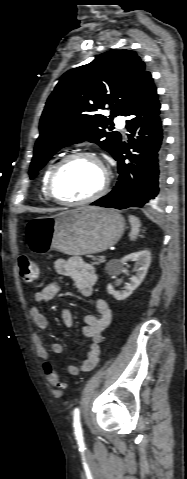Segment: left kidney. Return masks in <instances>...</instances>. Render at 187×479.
<instances>
[{"instance_id": "1", "label": "left kidney", "mask_w": 187, "mask_h": 479, "mask_svg": "<svg viewBox=\"0 0 187 479\" xmlns=\"http://www.w3.org/2000/svg\"><path fill=\"white\" fill-rule=\"evenodd\" d=\"M129 261H135L138 269L136 275L130 278V283L125 289L115 291L111 284L107 285V292L116 300H124L128 298L144 280L151 263V253L148 250H143L128 254L121 259H112L107 263L105 269L110 276H117L123 270V266Z\"/></svg>"}]
</instances>
